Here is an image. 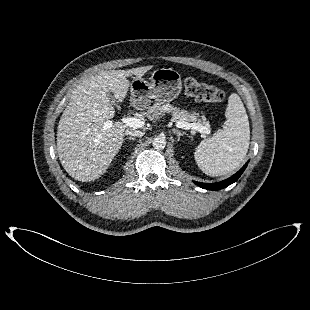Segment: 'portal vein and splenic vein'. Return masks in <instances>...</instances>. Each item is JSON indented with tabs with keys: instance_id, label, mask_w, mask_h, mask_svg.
I'll return each instance as SVG.
<instances>
[{
	"instance_id": "obj_1",
	"label": "portal vein and splenic vein",
	"mask_w": 310,
	"mask_h": 310,
	"mask_svg": "<svg viewBox=\"0 0 310 310\" xmlns=\"http://www.w3.org/2000/svg\"><path fill=\"white\" fill-rule=\"evenodd\" d=\"M121 121L124 124H126L127 126L132 127V128H141L145 124L144 121H142L138 118H134V117H124L121 119ZM111 126H112V121H107L104 124L103 129L104 130L109 129ZM176 126L178 128H182L185 130L192 129V130L200 132L201 134H209L210 133V130L207 127L200 125V124H196V123H187V122L178 121L176 123Z\"/></svg>"
}]
</instances>
